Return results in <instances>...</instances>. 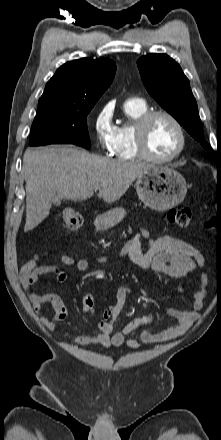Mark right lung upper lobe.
I'll return each instance as SVG.
<instances>
[{"label":"right lung upper lobe","mask_w":221,"mask_h":440,"mask_svg":"<svg viewBox=\"0 0 221 440\" xmlns=\"http://www.w3.org/2000/svg\"><path fill=\"white\" fill-rule=\"evenodd\" d=\"M115 71V63L105 58L67 62L47 82L39 102L94 105L112 83Z\"/></svg>","instance_id":"right-lung-upper-lobe-1"}]
</instances>
